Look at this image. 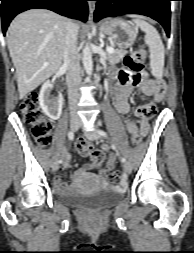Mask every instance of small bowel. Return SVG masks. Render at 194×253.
Instances as JSON below:
<instances>
[{"label":"small bowel","mask_w":194,"mask_h":253,"mask_svg":"<svg viewBox=\"0 0 194 253\" xmlns=\"http://www.w3.org/2000/svg\"><path fill=\"white\" fill-rule=\"evenodd\" d=\"M135 90H138L143 96L152 98V101L146 105H152L155 108V104L160 102L165 94V85L161 81L149 78L145 73L136 75L127 69H121L114 74L109 85V92L113 99L117 113L125 115L130 112V97ZM146 105L139 106L136 109L135 114L138 117L137 123L135 121L127 122L126 128L131 135L138 133L140 136H145L149 132L150 119L153 114L140 113V109ZM102 148L104 151L109 150V146L106 144H104ZM63 159L64 163L61 166V170L65 171L70 161V155L67 152L63 153ZM116 161V154H109L106 167L100 171V175L103 177L107 176L108 173L115 167ZM88 169V166H84L82 170ZM54 184L60 192L68 190L67 183L59 176L54 179Z\"/></svg>","instance_id":"1"}]
</instances>
